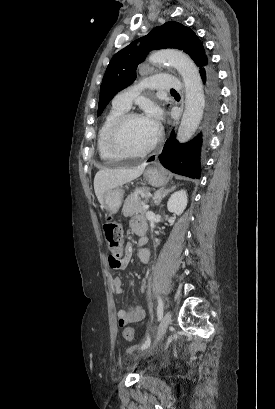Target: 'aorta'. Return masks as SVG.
<instances>
[{"mask_svg":"<svg viewBox=\"0 0 275 409\" xmlns=\"http://www.w3.org/2000/svg\"><path fill=\"white\" fill-rule=\"evenodd\" d=\"M150 62H168L180 72L185 86V110L177 132L179 142H186L196 132L203 116L205 96L199 70L192 58L181 50H158Z\"/></svg>","mask_w":275,"mask_h":409,"instance_id":"obj_1","label":"aorta"}]
</instances>
